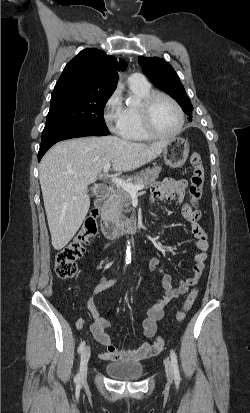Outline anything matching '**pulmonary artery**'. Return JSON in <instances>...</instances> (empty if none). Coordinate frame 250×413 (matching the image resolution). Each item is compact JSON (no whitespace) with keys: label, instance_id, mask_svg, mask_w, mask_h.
Instances as JSON below:
<instances>
[{"label":"pulmonary artery","instance_id":"e3ab8cb5","mask_svg":"<svg viewBox=\"0 0 250 413\" xmlns=\"http://www.w3.org/2000/svg\"><path fill=\"white\" fill-rule=\"evenodd\" d=\"M128 83L132 85H143L147 83V81L142 74L134 73L129 76Z\"/></svg>","mask_w":250,"mask_h":413}]
</instances>
